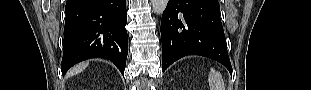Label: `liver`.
<instances>
[{
	"mask_svg": "<svg viewBox=\"0 0 311 90\" xmlns=\"http://www.w3.org/2000/svg\"><path fill=\"white\" fill-rule=\"evenodd\" d=\"M88 66V62H84V63H81L79 65H77L76 67H74L70 74L69 75H74V74H77L79 72H82L84 69H86Z\"/></svg>",
	"mask_w": 311,
	"mask_h": 90,
	"instance_id": "6515ba94",
	"label": "liver"
}]
</instances>
